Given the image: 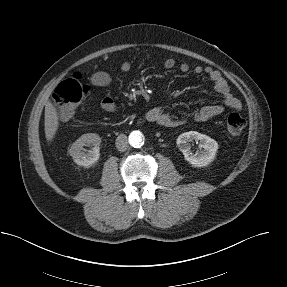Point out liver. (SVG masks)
<instances>
[{"label":"liver","instance_id":"6515ba94","mask_svg":"<svg viewBox=\"0 0 287 287\" xmlns=\"http://www.w3.org/2000/svg\"><path fill=\"white\" fill-rule=\"evenodd\" d=\"M45 137L48 142H51L58 130L59 116L57 109L51 102L45 105Z\"/></svg>","mask_w":287,"mask_h":287}]
</instances>
